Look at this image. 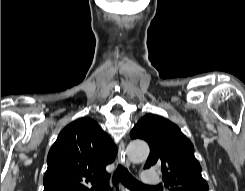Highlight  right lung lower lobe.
<instances>
[{
    "instance_id": "right-lung-lower-lobe-1",
    "label": "right lung lower lobe",
    "mask_w": 245,
    "mask_h": 191,
    "mask_svg": "<svg viewBox=\"0 0 245 191\" xmlns=\"http://www.w3.org/2000/svg\"><path fill=\"white\" fill-rule=\"evenodd\" d=\"M109 190H110V189H109V186H108V187L102 189L101 191H109Z\"/></svg>"
}]
</instances>
